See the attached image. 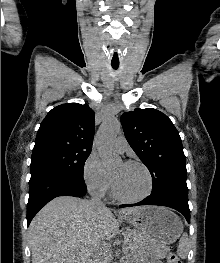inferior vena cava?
<instances>
[{
	"instance_id": "602c4592",
	"label": "inferior vena cava",
	"mask_w": 220,
	"mask_h": 263,
	"mask_svg": "<svg viewBox=\"0 0 220 263\" xmlns=\"http://www.w3.org/2000/svg\"><path fill=\"white\" fill-rule=\"evenodd\" d=\"M101 199H102V194L94 193V194H92L90 202L95 207L104 208L105 205L103 204Z\"/></svg>"
}]
</instances>
